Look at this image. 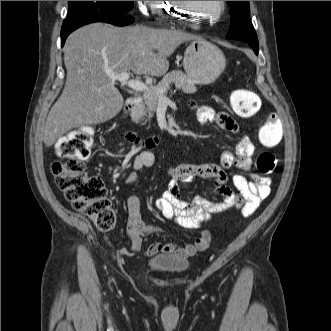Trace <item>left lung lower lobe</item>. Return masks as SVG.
<instances>
[{"mask_svg":"<svg viewBox=\"0 0 331 331\" xmlns=\"http://www.w3.org/2000/svg\"><path fill=\"white\" fill-rule=\"evenodd\" d=\"M248 43L254 50L256 54H258V41L257 42H246Z\"/></svg>","mask_w":331,"mask_h":331,"instance_id":"left-lung-lower-lobe-1","label":"left lung lower lobe"}]
</instances>
